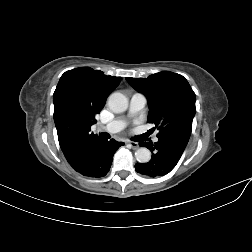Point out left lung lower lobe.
Masks as SVG:
<instances>
[{
    "instance_id": "left-lung-lower-lobe-1",
    "label": "left lung lower lobe",
    "mask_w": 252,
    "mask_h": 252,
    "mask_svg": "<svg viewBox=\"0 0 252 252\" xmlns=\"http://www.w3.org/2000/svg\"><path fill=\"white\" fill-rule=\"evenodd\" d=\"M152 152V158L147 163H136L138 173L147 177H159L168 174L180 160L187 143L172 137H159L158 142H141Z\"/></svg>"
}]
</instances>
